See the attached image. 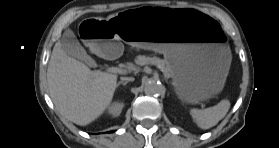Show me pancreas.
<instances>
[{
	"label": "pancreas",
	"mask_w": 279,
	"mask_h": 148,
	"mask_svg": "<svg viewBox=\"0 0 279 148\" xmlns=\"http://www.w3.org/2000/svg\"><path fill=\"white\" fill-rule=\"evenodd\" d=\"M136 63L138 65L155 64L160 67L166 77H170L171 69L166 59H160L158 57L139 56L136 59Z\"/></svg>",
	"instance_id": "pancreas-1"
}]
</instances>
